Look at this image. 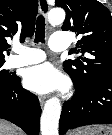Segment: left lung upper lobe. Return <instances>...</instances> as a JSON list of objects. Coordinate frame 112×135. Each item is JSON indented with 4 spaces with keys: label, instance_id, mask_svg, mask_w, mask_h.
I'll return each mask as SVG.
<instances>
[{
    "label": "left lung upper lobe",
    "instance_id": "left-lung-upper-lobe-1",
    "mask_svg": "<svg viewBox=\"0 0 112 135\" xmlns=\"http://www.w3.org/2000/svg\"><path fill=\"white\" fill-rule=\"evenodd\" d=\"M55 3L66 11L62 30L81 36L71 52L81 55L65 61V71L80 86L112 76V16L109 10L97 0H56Z\"/></svg>",
    "mask_w": 112,
    "mask_h": 135
}]
</instances>
